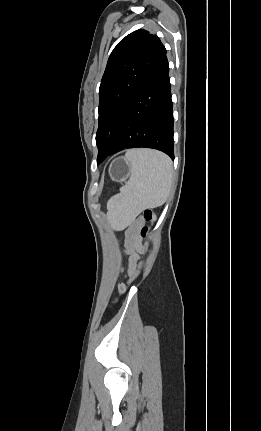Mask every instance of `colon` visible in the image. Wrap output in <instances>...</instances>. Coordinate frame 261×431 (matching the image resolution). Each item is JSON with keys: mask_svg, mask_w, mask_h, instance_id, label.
I'll use <instances>...</instances> for the list:
<instances>
[{"mask_svg": "<svg viewBox=\"0 0 261 431\" xmlns=\"http://www.w3.org/2000/svg\"><path fill=\"white\" fill-rule=\"evenodd\" d=\"M142 216H143V219L150 224H153L156 219L155 213L151 209H145L142 213ZM150 232H151L150 227H144L141 229L140 234L143 238H147L150 235ZM135 276H136V273L134 272L133 274H131L130 279L134 278ZM126 288H127L126 283L121 282L117 286V291L119 294H123L126 291Z\"/></svg>", "mask_w": 261, "mask_h": 431, "instance_id": "colon-1", "label": "colon"}]
</instances>
